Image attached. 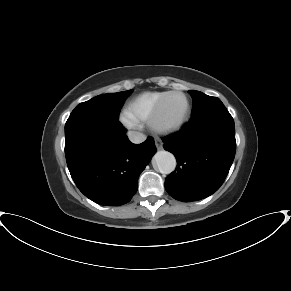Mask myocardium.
I'll list each match as a JSON object with an SVG mask.
<instances>
[{"label": "myocardium", "instance_id": "myocardium-1", "mask_svg": "<svg viewBox=\"0 0 291 291\" xmlns=\"http://www.w3.org/2000/svg\"><path fill=\"white\" fill-rule=\"evenodd\" d=\"M174 95H182L186 99V115L184 119L177 125L174 126H164L160 123V117L163 110V107L166 101L174 96ZM192 114V105L188 95L181 91H170L165 96L161 98V100L157 103L153 112L151 113L148 124L149 127L159 134H172L181 131L189 122Z\"/></svg>", "mask_w": 291, "mask_h": 291}]
</instances>
